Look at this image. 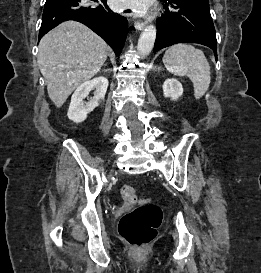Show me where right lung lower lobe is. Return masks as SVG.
Wrapping results in <instances>:
<instances>
[{
  "label": "right lung lower lobe",
  "instance_id": "right-lung-lower-lobe-1",
  "mask_svg": "<svg viewBox=\"0 0 261 273\" xmlns=\"http://www.w3.org/2000/svg\"><path fill=\"white\" fill-rule=\"evenodd\" d=\"M65 20L81 22L101 36L119 56L128 31V21L114 13L106 0H46L39 40Z\"/></svg>",
  "mask_w": 261,
  "mask_h": 273
}]
</instances>
